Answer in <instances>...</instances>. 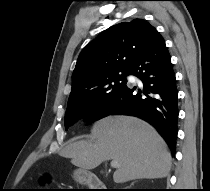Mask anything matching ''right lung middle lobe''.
I'll use <instances>...</instances> for the list:
<instances>
[{
  "instance_id": "right-lung-middle-lobe-1",
  "label": "right lung middle lobe",
  "mask_w": 210,
  "mask_h": 191,
  "mask_svg": "<svg viewBox=\"0 0 210 191\" xmlns=\"http://www.w3.org/2000/svg\"><path fill=\"white\" fill-rule=\"evenodd\" d=\"M127 75L129 69L106 73L95 80L90 89L69 98L64 120L65 129L86 115L90 123L98 120L108 102L127 84Z\"/></svg>"
}]
</instances>
